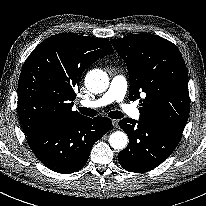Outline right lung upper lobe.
<instances>
[{
    "mask_svg": "<svg viewBox=\"0 0 206 206\" xmlns=\"http://www.w3.org/2000/svg\"><path fill=\"white\" fill-rule=\"evenodd\" d=\"M113 53L108 39L74 33L40 43L25 61L18 82V112L26 136L84 118L72 111L74 87L85 69Z\"/></svg>",
    "mask_w": 206,
    "mask_h": 206,
    "instance_id": "right-lung-upper-lobe-1",
    "label": "right lung upper lobe"
}]
</instances>
